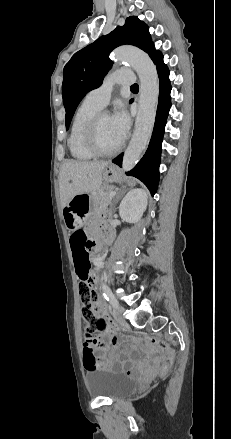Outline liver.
Instances as JSON below:
<instances>
[{
	"label": "liver",
	"instance_id": "obj_1",
	"mask_svg": "<svg viewBox=\"0 0 231 439\" xmlns=\"http://www.w3.org/2000/svg\"><path fill=\"white\" fill-rule=\"evenodd\" d=\"M109 165L107 161H74L63 164L59 175L60 200L62 208L79 193L98 190L102 184V172Z\"/></svg>",
	"mask_w": 231,
	"mask_h": 439
}]
</instances>
